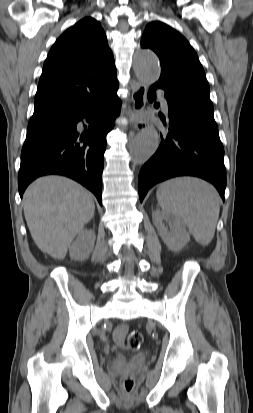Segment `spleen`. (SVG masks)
Returning <instances> with one entry per match:
<instances>
[{"mask_svg": "<svg viewBox=\"0 0 253 413\" xmlns=\"http://www.w3.org/2000/svg\"><path fill=\"white\" fill-rule=\"evenodd\" d=\"M156 197L166 213L184 221L196 242L205 246L212 241L220 197L211 184L194 177L174 178L160 184Z\"/></svg>", "mask_w": 253, "mask_h": 413, "instance_id": "3e777b00", "label": "spleen"}]
</instances>
